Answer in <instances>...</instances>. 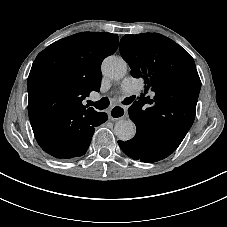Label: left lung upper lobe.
<instances>
[{"label":"left lung upper lobe","instance_id":"5c2ea615","mask_svg":"<svg viewBox=\"0 0 227 227\" xmlns=\"http://www.w3.org/2000/svg\"><path fill=\"white\" fill-rule=\"evenodd\" d=\"M120 53L131 75L142 77L145 90L128 109L137 129L176 149L191 128L201 88L193 58L180 45L157 33L126 34ZM146 93V92H145Z\"/></svg>","mask_w":227,"mask_h":227}]
</instances>
